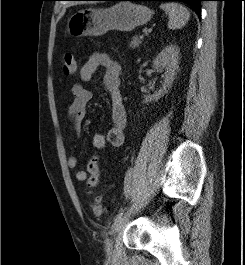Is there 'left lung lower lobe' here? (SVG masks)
I'll list each match as a JSON object with an SVG mask.
<instances>
[{"mask_svg": "<svg viewBox=\"0 0 245 265\" xmlns=\"http://www.w3.org/2000/svg\"><path fill=\"white\" fill-rule=\"evenodd\" d=\"M95 1H182L187 3L192 7V9L198 14V17L201 18V1L204 0H95Z\"/></svg>", "mask_w": 245, "mask_h": 265, "instance_id": "0a47b994", "label": "left lung lower lobe"}]
</instances>
